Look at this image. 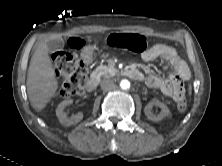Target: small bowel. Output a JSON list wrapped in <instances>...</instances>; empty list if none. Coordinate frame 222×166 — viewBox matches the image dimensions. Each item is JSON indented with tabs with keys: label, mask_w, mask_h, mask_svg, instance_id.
Masks as SVG:
<instances>
[{
	"label": "small bowel",
	"mask_w": 222,
	"mask_h": 166,
	"mask_svg": "<svg viewBox=\"0 0 222 166\" xmlns=\"http://www.w3.org/2000/svg\"><path fill=\"white\" fill-rule=\"evenodd\" d=\"M141 58L148 62L161 58L166 63V68H172V74L168 78H162L156 74H150L145 82L149 88L160 89L161 92L178 102L185 95L184 82L190 78V70L187 63L179 53L171 46L157 44L144 51Z\"/></svg>",
	"instance_id": "1"
}]
</instances>
